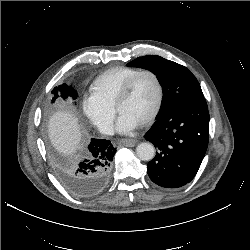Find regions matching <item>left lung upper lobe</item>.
<instances>
[{
  "label": "left lung upper lobe",
  "instance_id": "5c2ea615",
  "mask_svg": "<svg viewBox=\"0 0 250 250\" xmlns=\"http://www.w3.org/2000/svg\"><path fill=\"white\" fill-rule=\"evenodd\" d=\"M153 72L163 89V100L157 117L190 101L204 99L196 77L184 66L160 56H142L127 64Z\"/></svg>",
  "mask_w": 250,
  "mask_h": 250
}]
</instances>
